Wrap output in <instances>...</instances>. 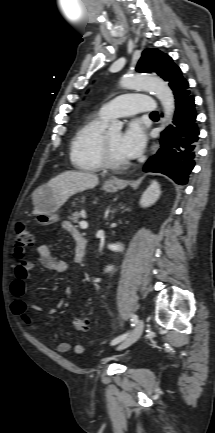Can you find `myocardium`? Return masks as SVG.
<instances>
[{"label":"myocardium","mask_w":215,"mask_h":433,"mask_svg":"<svg viewBox=\"0 0 215 433\" xmlns=\"http://www.w3.org/2000/svg\"><path fill=\"white\" fill-rule=\"evenodd\" d=\"M101 159L103 166L110 169H122L129 165L128 160H118L113 156L106 134L103 135L101 140Z\"/></svg>","instance_id":"1"}]
</instances>
